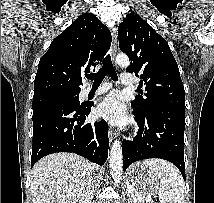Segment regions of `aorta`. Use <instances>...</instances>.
<instances>
[{"label": "aorta", "instance_id": "obj_1", "mask_svg": "<svg viewBox=\"0 0 214 203\" xmlns=\"http://www.w3.org/2000/svg\"><path fill=\"white\" fill-rule=\"evenodd\" d=\"M116 63L120 66L127 67L130 62L127 55L119 54L116 57ZM109 164L114 184L118 185L122 179L123 156L120 141H118L117 139L113 142L111 147Z\"/></svg>", "mask_w": 214, "mask_h": 203}]
</instances>
